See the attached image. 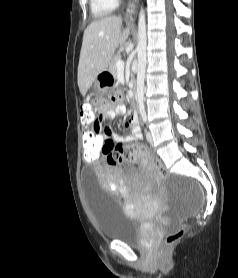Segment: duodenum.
Segmentation results:
<instances>
[{
    "mask_svg": "<svg viewBox=\"0 0 238 278\" xmlns=\"http://www.w3.org/2000/svg\"><path fill=\"white\" fill-rule=\"evenodd\" d=\"M131 104L134 110L137 108V99L135 93H133L132 98H131Z\"/></svg>",
    "mask_w": 238,
    "mask_h": 278,
    "instance_id": "1",
    "label": "duodenum"
}]
</instances>
